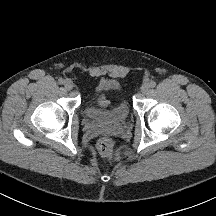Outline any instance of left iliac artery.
Masks as SVG:
<instances>
[{
	"label": "left iliac artery",
	"instance_id": "left-iliac-artery-1",
	"mask_svg": "<svg viewBox=\"0 0 216 216\" xmlns=\"http://www.w3.org/2000/svg\"><path fill=\"white\" fill-rule=\"evenodd\" d=\"M155 86H156V82H155V81H151L150 87H151V88H154Z\"/></svg>",
	"mask_w": 216,
	"mask_h": 216
}]
</instances>
